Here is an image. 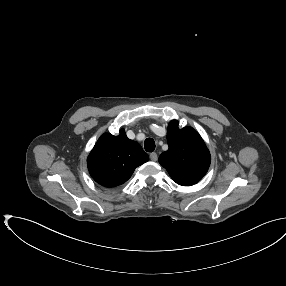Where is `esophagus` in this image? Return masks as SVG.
I'll use <instances>...</instances> for the list:
<instances>
[{
	"label": "esophagus",
	"mask_w": 286,
	"mask_h": 286,
	"mask_svg": "<svg viewBox=\"0 0 286 286\" xmlns=\"http://www.w3.org/2000/svg\"><path fill=\"white\" fill-rule=\"evenodd\" d=\"M150 159L152 161H157V159H158L157 153H155V152L151 153L150 154Z\"/></svg>",
	"instance_id": "34e87169"
}]
</instances>
